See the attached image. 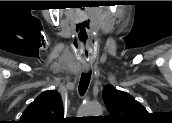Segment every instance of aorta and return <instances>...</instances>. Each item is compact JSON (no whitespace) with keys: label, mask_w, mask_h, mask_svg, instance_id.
Masks as SVG:
<instances>
[{"label":"aorta","mask_w":172,"mask_h":123,"mask_svg":"<svg viewBox=\"0 0 172 123\" xmlns=\"http://www.w3.org/2000/svg\"><path fill=\"white\" fill-rule=\"evenodd\" d=\"M83 112L87 116H100L102 114V108L99 104L86 102L83 105Z\"/></svg>","instance_id":"aorta-1"}]
</instances>
